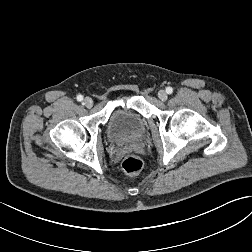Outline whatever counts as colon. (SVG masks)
Listing matches in <instances>:
<instances>
[{
  "instance_id": "colon-1",
  "label": "colon",
  "mask_w": 252,
  "mask_h": 252,
  "mask_svg": "<svg viewBox=\"0 0 252 252\" xmlns=\"http://www.w3.org/2000/svg\"><path fill=\"white\" fill-rule=\"evenodd\" d=\"M121 165L126 173L134 175L142 170L143 160L137 155L130 154L124 157Z\"/></svg>"
}]
</instances>
